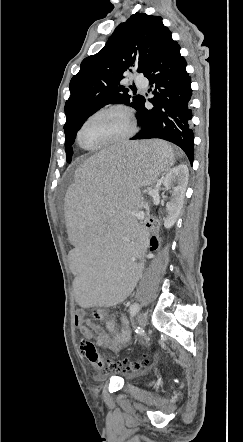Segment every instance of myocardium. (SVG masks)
Instances as JSON below:
<instances>
[{"label":"myocardium","instance_id":"obj_1","mask_svg":"<svg viewBox=\"0 0 243 442\" xmlns=\"http://www.w3.org/2000/svg\"><path fill=\"white\" fill-rule=\"evenodd\" d=\"M113 111L121 112V113H123L125 115V117L127 119V123H128V130L126 131V133L121 135V136H119V137H117V138H115V139H112L110 141L102 143L100 145H96V146L85 145L82 142V140H81V133H82V130H83L84 126L91 119L95 118L96 116H99V115L107 113V112H113ZM135 130H136V123H135V118H134V115H133L132 111L128 107L123 106V105H111V106H107V107L101 108V109L95 111L94 113L90 114L81 123V125H80V127H79V129L77 131L76 138H77L78 144L82 148H84L85 150L94 151V150H100V149H103V148H107V147H110V146H113V145L125 142L126 140H128L135 133Z\"/></svg>","mask_w":243,"mask_h":442}]
</instances>
